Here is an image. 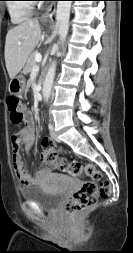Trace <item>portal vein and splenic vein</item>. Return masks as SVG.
Returning a JSON list of instances; mask_svg holds the SVG:
<instances>
[{"label": "portal vein and splenic vein", "mask_w": 133, "mask_h": 253, "mask_svg": "<svg viewBox=\"0 0 133 253\" xmlns=\"http://www.w3.org/2000/svg\"><path fill=\"white\" fill-rule=\"evenodd\" d=\"M19 44H21V42H19ZM35 60L37 63H40L42 60V55L40 53H36L35 55ZM38 67L37 65L34 66V68Z\"/></svg>", "instance_id": "portal-vein-and-splenic-vein-1"}]
</instances>
